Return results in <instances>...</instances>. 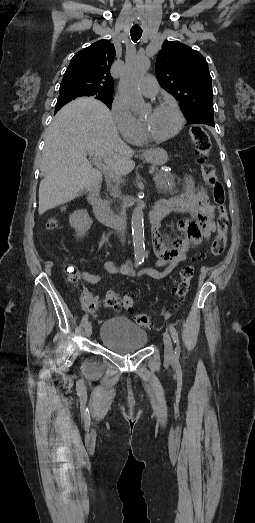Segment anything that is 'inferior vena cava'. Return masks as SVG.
Here are the masks:
<instances>
[{
  "instance_id": "602c4592",
  "label": "inferior vena cava",
  "mask_w": 255,
  "mask_h": 523,
  "mask_svg": "<svg viewBox=\"0 0 255 523\" xmlns=\"http://www.w3.org/2000/svg\"><path fill=\"white\" fill-rule=\"evenodd\" d=\"M116 230L118 232V234H120L121 236V242H125V234H126V224H125V214L123 212V210H121V214L120 216H118L117 218V222H116Z\"/></svg>"
}]
</instances>
